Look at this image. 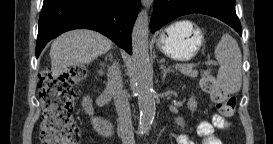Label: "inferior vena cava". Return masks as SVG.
Segmentation results:
<instances>
[{"label": "inferior vena cava", "instance_id": "1", "mask_svg": "<svg viewBox=\"0 0 273 144\" xmlns=\"http://www.w3.org/2000/svg\"><path fill=\"white\" fill-rule=\"evenodd\" d=\"M108 86L112 91L116 111L118 114L119 131L123 144H134L133 126L127 93L123 90L122 76L117 63L108 69Z\"/></svg>", "mask_w": 273, "mask_h": 144}]
</instances>
